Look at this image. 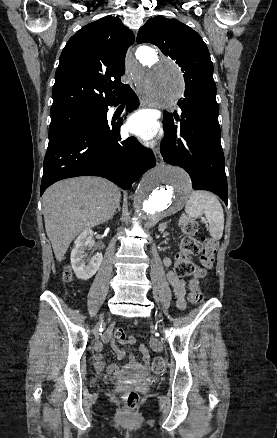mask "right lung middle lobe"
Returning a JSON list of instances; mask_svg holds the SVG:
<instances>
[{
    "instance_id": "1",
    "label": "right lung middle lobe",
    "mask_w": 277,
    "mask_h": 438,
    "mask_svg": "<svg viewBox=\"0 0 277 438\" xmlns=\"http://www.w3.org/2000/svg\"><path fill=\"white\" fill-rule=\"evenodd\" d=\"M100 113L101 110L96 108H81L50 113L49 140L82 124L95 123Z\"/></svg>"
}]
</instances>
